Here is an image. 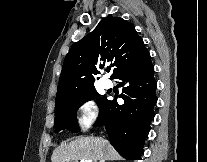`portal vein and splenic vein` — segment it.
<instances>
[{"mask_svg":"<svg viewBox=\"0 0 207 162\" xmlns=\"http://www.w3.org/2000/svg\"><path fill=\"white\" fill-rule=\"evenodd\" d=\"M80 162H92V160H81Z\"/></svg>","mask_w":207,"mask_h":162,"instance_id":"obj_1","label":"portal vein and splenic vein"}]
</instances>
